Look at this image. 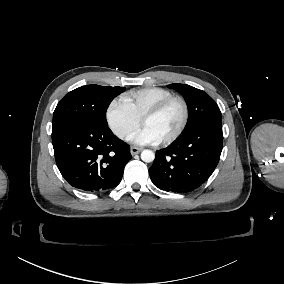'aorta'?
Segmentation results:
<instances>
[{
	"label": "aorta",
	"instance_id": "aorta-1",
	"mask_svg": "<svg viewBox=\"0 0 284 284\" xmlns=\"http://www.w3.org/2000/svg\"><path fill=\"white\" fill-rule=\"evenodd\" d=\"M141 159L146 163L153 162L155 159V154L152 150L145 149L141 153Z\"/></svg>",
	"mask_w": 284,
	"mask_h": 284
}]
</instances>
